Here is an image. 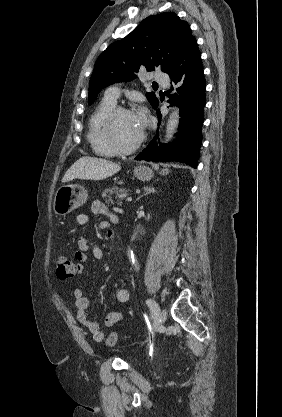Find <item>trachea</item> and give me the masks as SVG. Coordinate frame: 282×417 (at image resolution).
Returning a JSON list of instances; mask_svg holds the SVG:
<instances>
[{"mask_svg":"<svg viewBox=\"0 0 282 417\" xmlns=\"http://www.w3.org/2000/svg\"><path fill=\"white\" fill-rule=\"evenodd\" d=\"M152 86H158V84H153Z\"/></svg>","mask_w":282,"mask_h":417,"instance_id":"obj_1","label":"trachea"}]
</instances>
